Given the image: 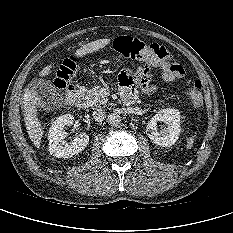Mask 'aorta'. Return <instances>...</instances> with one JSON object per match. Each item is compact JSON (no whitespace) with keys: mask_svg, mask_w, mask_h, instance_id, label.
Masks as SVG:
<instances>
[{"mask_svg":"<svg viewBox=\"0 0 233 233\" xmlns=\"http://www.w3.org/2000/svg\"><path fill=\"white\" fill-rule=\"evenodd\" d=\"M107 121L111 126H115L121 122V117L116 113H111L108 115Z\"/></svg>","mask_w":233,"mask_h":233,"instance_id":"obj_1","label":"aorta"}]
</instances>
